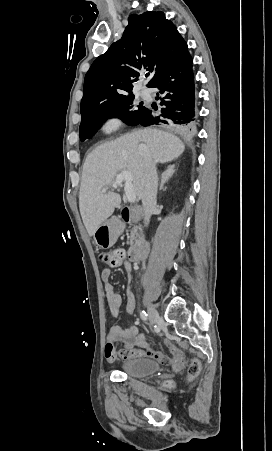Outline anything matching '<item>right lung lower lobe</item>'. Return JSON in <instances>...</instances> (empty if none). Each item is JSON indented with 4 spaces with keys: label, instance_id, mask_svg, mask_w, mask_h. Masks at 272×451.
<instances>
[{
    "label": "right lung lower lobe",
    "instance_id": "obj_1",
    "mask_svg": "<svg viewBox=\"0 0 272 451\" xmlns=\"http://www.w3.org/2000/svg\"><path fill=\"white\" fill-rule=\"evenodd\" d=\"M152 87L159 90L156 99H161V115L155 116L147 108L136 125H167L180 133H191L198 117L192 57L189 52L161 73Z\"/></svg>",
    "mask_w": 272,
    "mask_h": 451
}]
</instances>
